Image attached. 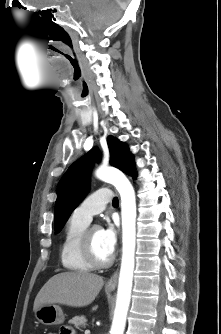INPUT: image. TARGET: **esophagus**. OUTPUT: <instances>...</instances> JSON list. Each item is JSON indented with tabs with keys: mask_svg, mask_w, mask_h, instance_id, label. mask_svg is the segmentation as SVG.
<instances>
[{
	"mask_svg": "<svg viewBox=\"0 0 221 334\" xmlns=\"http://www.w3.org/2000/svg\"><path fill=\"white\" fill-rule=\"evenodd\" d=\"M117 279H118V270H116L114 274L110 277V279L106 283V286L115 287L117 284Z\"/></svg>",
	"mask_w": 221,
	"mask_h": 334,
	"instance_id": "1",
	"label": "esophagus"
}]
</instances>
